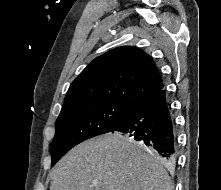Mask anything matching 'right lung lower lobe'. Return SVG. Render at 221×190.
Wrapping results in <instances>:
<instances>
[{"instance_id":"1","label":"right lung lower lobe","mask_w":221,"mask_h":190,"mask_svg":"<svg viewBox=\"0 0 221 190\" xmlns=\"http://www.w3.org/2000/svg\"><path fill=\"white\" fill-rule=\"evenodd\" d=\"M117 131L140 141L164 162H175L176 128L165 89L133 106L111 132Z\"/></svg>"}]
</instances>
